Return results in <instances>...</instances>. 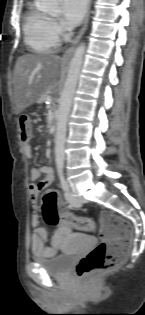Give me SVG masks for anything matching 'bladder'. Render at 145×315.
<instances>
[{"instance_id":"31cf9c89","label":"bladder","mask_w":145,"mask_h":315,"mask_svg":"<svg viewBox=\"0 0 145 315\" xmlns=\"http://www.w3.org/2000/svg\"><path fill=\"white\" fill-rule=\"evenodd\" d=\"M75 249H91V248H75ZM75 256H65V252L55 255L47 260L36 259L48 274L56 277L65 276L73 267Z\"/></svg>"}]
</instances>
